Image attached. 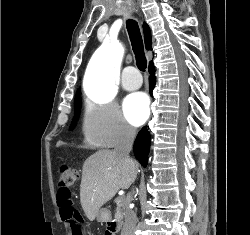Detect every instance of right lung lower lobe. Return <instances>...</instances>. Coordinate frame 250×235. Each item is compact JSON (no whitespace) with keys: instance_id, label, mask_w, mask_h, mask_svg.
<instances>
[{"instance_id":"obj_1","label":"right lung lower lobe","mask_w":250,"mask_h":235,"mask_svg":"<svg viewBox=\"0 0 250 235\" xmlns=\"http://www.w3.org/2000/svg\"><path fill=\"white\" fill-rule=\"evenodd\" d=\"M149 90L152 92L154 89L156 79H155V68L153 62L149 63ZM150 150V133L146 127H143L142 130L137 135V138L134 143V154L137 160L144 166H147L148 162V153Z\"/></svg>"}]
</instances>
